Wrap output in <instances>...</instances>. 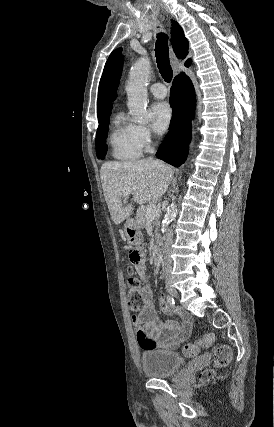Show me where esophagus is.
I'll use <instances>...</instances> for the list:
<instances>
[{"label": "esophagus", "mask_w": 274, "mask_h": 427, "mask_svg": "<svg viewBox=\"0 0 274 427\" xmlns=\"http://www.w3.org/2000/svg\"><path fill=\"white\" fill-rule=\"evenodd\" d=\"M171 63L173 65L174 73L178 74L179 73V68L177 67L178 60L175 57L173 52L171 53Z\"/></svg>", "instance_id": "1"}]
</instances>
